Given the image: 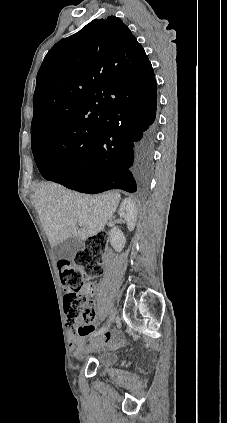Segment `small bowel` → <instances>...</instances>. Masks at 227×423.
<instances>
[{
    "mask_svg": "<svg viewBox=\"0 0 227 423\" xmlns=\"http://www.w3.org/2000/svg\"><path fill=\"white\" fill-rule=\"evenodd\" d=\"M94 286L89 284V294L93 293ZM94 325L92 323L82 326L80 333L70 336V351L72 355L78 356L83 349V345L88 336L94 332ZM122 338L118 332H107L104 336L99 339L93 346H110L115 347L121 344Z\"/></svg>",
    "mask_w": 227,
    "mask_h": 423,
    "instance_id": "c3829d8e",
    "label": "small bowel"
}]
</instances>
